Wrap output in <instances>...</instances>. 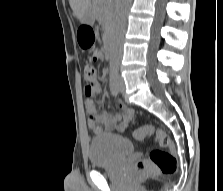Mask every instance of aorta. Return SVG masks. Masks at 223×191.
I'll list each match as a JSON object with an SVG mask.
<instances>
[{
    "mask_svg": "<svg viewBox=\"0 0 223 191\" xmlns=\"http://www.w3.org/2000/svg\"><path fill=\"white\" fill-rule=\"evenodd\" d=\"M131 0H117L113 19V32L110 39V64L118 66L122 58L123 37L128 9Z\"/></svg>",
    "mask_w": 223,
    "mask_h": 191,
    "instance_id": "762f6f07",
    "label": "aorta"
}]
</instances>
